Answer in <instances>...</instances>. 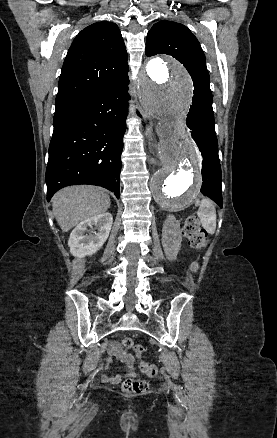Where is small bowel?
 Wrapping results in <instances>:
<instances>
[{
  "instance_id": "obj_1",
  "label": "small bowel",
  "mask_w": 277,
  "mask_h": 438,
  "mask_svg": "<svg viewBox=\"0 0 277 438\" xmlns=\"http://www.w3.org/2000/svg\"><path fill=\"white\" fill-rule=\"evenodd\" d=\"M112 347H114V350H113L114 356L119 361H121L124 364V366H125V372H124L123 376H125V377H134V376H136L137 371H136V367H135V360H134V358L130 354H128L122 348L121 345H119V344H117V345L112 344ZM110 362H111V359L105 360L103 362V365L105 367H108L110 365ZM120 378H121L120 375H116V376H113L111 379H112V381H118V380H120Z\"/></svg>"
}]
</instances>
